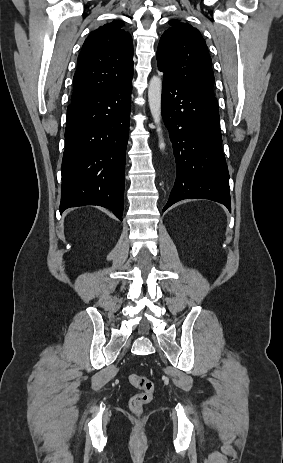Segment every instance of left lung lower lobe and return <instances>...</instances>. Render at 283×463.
<instances>
[{
	"label": "left lung lower lobe",
	"mask_w": 283,
	"mask_h": 463,
	"mask_svg": "<svg viewBox=\"0 0 283 463\" xmlns=\"http://www.w3.org/2000/svg\"><path fill=\"white\" fill-rule=\"evenodd\" d=\"M158 68L164 72L162 116L176 161V181L163 211L183 199H210L231 210L218 103Z\"/></svg>",
	"instance_id": "1"
}]
</instances>
